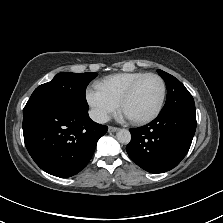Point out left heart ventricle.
<instances>
[{"label": "left heart ventricle", "instance_id": "b2bd125f", "mask_svg": "<svg viewBox=\"0 0 223 223\" xmlns=\"http://www.w3.org/2000/svg\"><path fill=\"white\" fill-rule=\"evenodd\" d=\"M160 94V82L154 77H149L141 83L132 97L123 105L121 112L130 118L146 117L157 107Z\"/></svg>", "mask_w": 223, "mask_h": 223}]
</instances>
